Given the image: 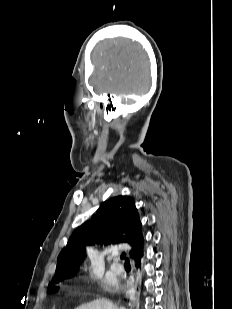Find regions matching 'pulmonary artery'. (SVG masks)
<instances>
[{"mask_svg":"<svg viewBox=\"0 0 232 309\" xmlns=\"http://www.w3.org/2000/svg\"><path fill=\"white\" fill-rule=\"evenodd\" d=\"M110 269L115 274H121L124 271V267L122 265H120L119 263H116V262L111 264Z\"/></svg>","mask_w":232,"mask_h":309,"instance_id":"obj_1","label":"pulmonary artery"}]
</instances>
